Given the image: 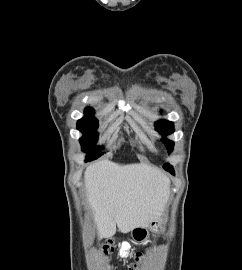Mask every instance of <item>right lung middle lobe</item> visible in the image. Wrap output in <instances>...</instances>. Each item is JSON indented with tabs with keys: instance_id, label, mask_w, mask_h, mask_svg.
I'll return each instance as SVG.
<instances>
[{
	"instance_id": "1",
	"label": "right lung middle lobe",
	"mask_w": 242,
	"mask_h": 270,
	"mask_svg": "<svg viewBox=\"0 0 242 270\" xmlns=\"http://www.w3.org/2000/svg\"><path fill=\"white\" fill-rule=\"evenodd\" d=\"M98 128V121L93 117V114L87 115L80 119L77 123V129H79L84 135L80 139L82 150L87 152L86 162L92 161L103 155V153H97L100 147H95L98 135L96 129Z\"/></svg>"
}]
</instances>
